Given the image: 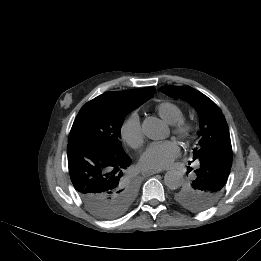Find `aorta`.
<instances>
[{
  "label": "aorta",
  "mask_w": 261,
  "mask_h": 261,
  "mask_svg": "<svg viewBox=\"0 0 261 261\" xmlns=\"http://www.w3.org/2000/svg\"><path fill=\"white\" fill-rule=\"evenodd\" d=\"M144 135L151 140L162 139L166 134V126L161 120L149 117L142 124ZM165 185L170 189H177L182 184V174L177 170H170L164 176Z\"/></svg>",
  "instance_id": "1"
}]
</instances>
